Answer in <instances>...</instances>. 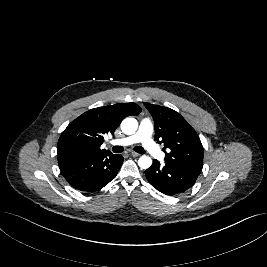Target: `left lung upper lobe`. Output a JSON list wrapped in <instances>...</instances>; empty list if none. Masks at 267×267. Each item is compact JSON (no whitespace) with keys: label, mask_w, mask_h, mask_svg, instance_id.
Returning <instances> with one entry per match:
<instances>
[{"label":"left lung upper lobe","mask_w":267,"mask_h":267,"mask_svg":"<svg viewBox=\"0 0 267 267\" xmlns=\"http://www.w3.org/2000/svg\"><path fill=\"white\" fill-rule=\"evenodd\" d=\"M155 124V137L164 143L165 165L199 175L203 167V146L196 131L176 111L145 103Z\"/></svg>","instance_id":"left-lung-upper-lobe-1"}]
</instances>
